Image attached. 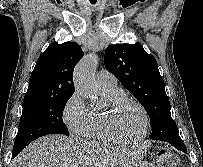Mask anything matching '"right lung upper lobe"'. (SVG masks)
<instances>
[{
	"mask_svg": "<svg viewBox=\"0 0 203 167\" xmlns=\"http://www.w3.org/2000/svg\"><path fill=\"white\" fill-rule=\"evenodd\" d=\"M82 57L83 51L75 42L51 43L37 60L23 102L72 96L73 70Z\"/></svg>",
	"mask_w": 203,
	"mask_h": 167,
	"instance_id": "cb5924a9",
	"label": "right lung upper lobe"
}]
</instances>
